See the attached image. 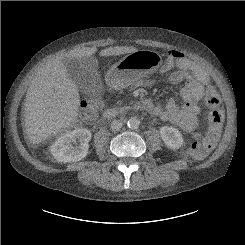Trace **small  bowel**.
<instances>
[{
	"mask_svg": "<svg viewBox=\"0 0 245 245\" xmlns=\"http://www.w3.org/2000/svg\"><path fill=\"white\" fill-rule=\"evenodd\" d=\"M172 67L174 71L169 76V82L172 85L185 82V86L178 93L184 104L179 106L176 98L172 97L164 107L156 106L149 112L198 135L196 116L200 101L206 94L207 88L212 86L210 74L205 68L187 58L176 62Z\"/></svg>",
	"mask_w": 245,
	"mask_h": 245,
	"instance_id": "small-bowel-1",
	"label": "small bowel"
}]
</instances>
